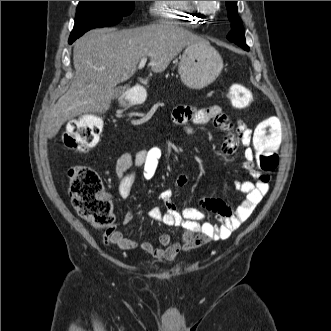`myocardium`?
Returning <instances> with one entry per match:
<instances>
[{
  "mask_svg": "<svg viewBox=\"0 0 331 331\" xmlns=\"http://www.w3.org/2000/svg\"><path fill=\"white\" fill-rule=\"evenodd\" d=\"M195 2L198 8L206 11H208L213 4V1H195Z\"/></svg>",
  "mask_w": 331,
  "mask_h": 331,
  "instance_id": "f54148a6",
  "label": "myocardium"
}]
</instances>
